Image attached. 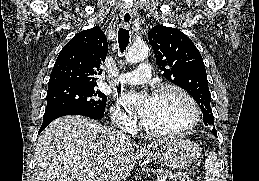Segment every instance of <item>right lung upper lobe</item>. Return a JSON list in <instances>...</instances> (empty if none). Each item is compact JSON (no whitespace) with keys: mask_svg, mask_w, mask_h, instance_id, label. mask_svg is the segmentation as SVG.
<instances>
[{"mask_svg":"<svg viewBox=\"0 0 259 181\" xmlns=\"http://www.w3.org/2000/svg\"><path fill=\"white\" fill-rule=\"evenodd\" d=\"M108 53V43L99 26L76 34L61 50L52 69L49 86L75 83L97 85Z\"/></svg>","mask_w":259,"mask_h":181,"instance_id":"1","label":"right lung upper lobe"}]
</instances>
